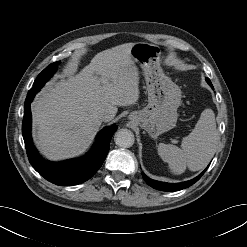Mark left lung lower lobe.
<instances>
[{"mask_svg":"<svg viewBox=\"0 0 247 247\" xmlns=\"http://www.w3.org/2000/svg\"><path fill=\"white\" fill-rule=\"evenodd\" d=\"M207 83L213 88V85L211 84V82L207 81ZM206 169L199 176L195 177L194 179L189 180V181H185L182 183H164V182L152 180V179L148 178L144 173H142V175H143V179L152 188L162 190V191H178V190H182L184 188H187V187L193 185L195 182H197L201 178V176L205 173Z\"/></svg>","mask_w":247,"mask_h":247,"instance_id":"obj_1","label":"left lung lower lobe"}]
</instances>
